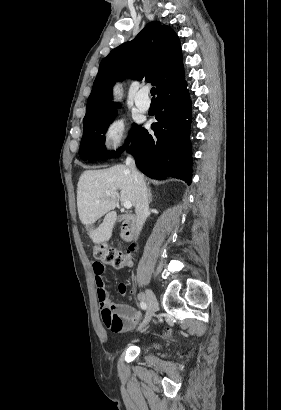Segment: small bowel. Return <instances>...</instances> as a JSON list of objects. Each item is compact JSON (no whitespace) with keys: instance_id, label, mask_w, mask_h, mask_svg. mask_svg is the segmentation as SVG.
Here are the masks:
<instances>
[{"instance_id":"1","label":"small bowel","mask_w":281,"mask_h":410,"mask_svg":"<svg viewBox=\"0 0 281 410\" xmlns=\"http://www.w3.org/2000/svg\"><path fill=\"white\" fill-rule=\"evenodd\" d=\"M106 264L102 262H94L93 263V274H94V280L96 284V292H97V300L99 307L102 310V313L104 311H108L111 314H115L118 316L121 321H122V326L116 330H113V332L122 334L130 329H132L137 322L140 319V312L135 309L134 307L128 305V304H115L113 301L110 299L108 292L105 288V283L103 280V275L106 271ZM118 291L121 295H126L127 294V287L125 284L121 283L118 286ZM131 294V293H129Z\"/></svg>"}]
</instances>
